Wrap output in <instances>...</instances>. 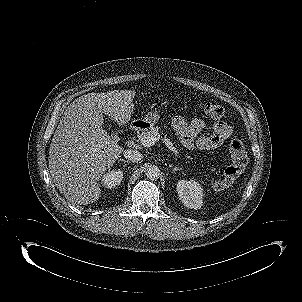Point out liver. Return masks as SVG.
<instances>
[{"label": "liver", "instance_id": "obj_1", "mask_svg": "<svg viewBox=\"0 0 302 302\" xmlns=\"http://www.w3.org/2000/svg\"><path fill=\"white\" fill-rule=\"evenodd\" d=\"M133 98L129 90L88 93L67 107L52 138L48 164L55 185L70 202L86 205L99 199L97 181L123 151L103 129L104 114L126 124Z\"/></svg>", "mask_w": 302, "mask_h": 302}]
</instances>
